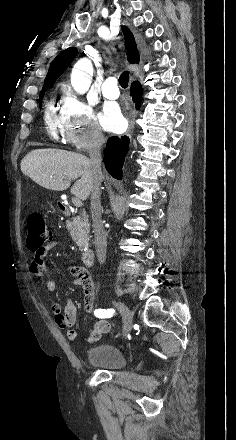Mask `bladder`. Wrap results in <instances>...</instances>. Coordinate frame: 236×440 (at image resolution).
I'll use <instances>...</instances> for the list:
<instances>
[{"label": "bladder", "instance_id": "bladder-1", "mask_svg": "<svg viewBox=\"0 0 236 440\" xmlns=\"http://www.w3.org/2000/svg\"><path fill=\"white\" fill-rule=\"evenodd\" d=\"M86 358L90 365L110 371L121 370L126 365V358L123 352L117 346L110 343L91 346Z\"/></svg>", "mask_w": 236, "mask_h": 440}]
</instances>
